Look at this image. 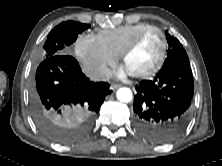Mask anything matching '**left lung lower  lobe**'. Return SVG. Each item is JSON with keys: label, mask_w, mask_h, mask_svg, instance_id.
Segmentation results:
<instances>
[{"label": "left lung lower lobe", "mask_w": 222, "mask_h": 166, "mask_svg": "<svg viewBox=\"0 0 222 166\" xmlns=\"http://www.w3.org/2000/svg\"><path fill=\"white\" fill-rule=\"evenodd\" d=\"M134 126L147 140L165 144L176 139L190 119L194 82L190 65L161 69L153 80L136 85Z\"/></svg>", "instance_id": "left-lung-lower-lobe-1"}]
</instances>
